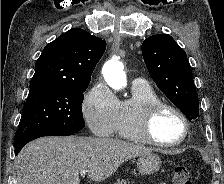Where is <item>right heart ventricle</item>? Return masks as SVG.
<instances>
[{
	"mask_svg": "<svg viewBox=\"0 0 224 184\" xmlns=\"http://www.w3.org/2000/svg\"><path fill=\"white\" fill-rule=\"evenodd\" d=\"M158 100L160 99L152 87L134 83L130 98L118 102L113 133L130 141L143 142L135 127L137 116L148 103Z\"/></svg>",
	"mask_w": 224,
	"mask_h": 184,
	"instance_id": "right-heart-ventricle-1",
	"label": "right heart ventricle"
}]
</instances>
